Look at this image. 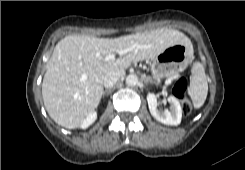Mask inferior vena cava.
Segmentation results:
<instances>
[{
  "label": "inferior vena cava",
  "mask_w": 245,
  "mask_h": 170,
  "mask_svg": "<svg viewBox=\"0 0 245 170\" xmlns=\"http://www.w3.org/2000/svg\"><path fill=\"white\" fill-rule=\"evenodd\" d=\"M125 74V71L117 72V71H112L109 72L105 75L104 77V86L107 89L112 88L117 81L120 79Z\"/></svg>",
  "instance_id": "1"
}]
</instances>
